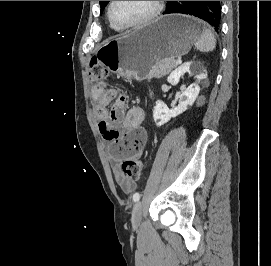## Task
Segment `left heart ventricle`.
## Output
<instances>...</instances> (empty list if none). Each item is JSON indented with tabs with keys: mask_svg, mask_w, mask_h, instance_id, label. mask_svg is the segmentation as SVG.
Wrapping results in <instances>:
<instances>
[{
	"mask_svg": "<svg viewBox=\"0 0 271 266\" xmlns=\"http://www.w3.org/2000/svg\"><path fill=\"white\" fill-rule=\"evenodd\" d=\"M154 1H115L112 16L120 24H132L145 18L153 9Z\"/></svg>",
	"mask_w": 271,
	"mask_h": 266,
	"instance_id": "obj_1",
	"label": "left heart ventricle"
}]
</instances>
